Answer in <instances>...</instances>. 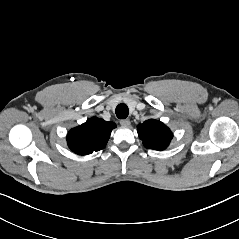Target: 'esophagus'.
Instances as JSON below:
<instances>
[{
  "instance_id": "esophagus-1",
  "label": "esophagus",
  "mask_w": 239,
  "mask_h": 239,
  "mask_svg": "<svg viewBox=\"0 0 239 239\" xmlns=\"http://www.w3.org/2000/svg\"><path fill=\"white\" fill-rule=\"evenodd\" d=\"M120 124L122 126H129L130 125V120L129 119H122V120H120Z\"/></svg>"
}]
</instances>
